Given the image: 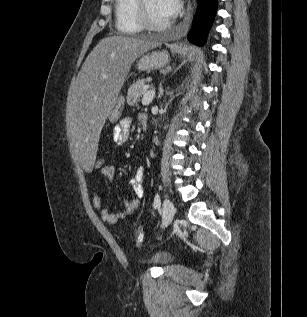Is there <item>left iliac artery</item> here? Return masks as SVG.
I'll return each mask as SVG.
<instances>
[{"mask_svg":"<svg viewBox=\"0 0 307 317\" xmlns=\"http://www.w3.org/2000/svg\"><path fill=\"white\" fill-rule=\"evenodd\" d=\"M160 204H161L160 196L158 193H156L155 198H154L153 207L156 209L160 206Z\"/></svg>","mask_w":307,"mask_h":317,"instance_id":"left-iliac-artery-1","label":"left iliac artery"}]
</instances>
